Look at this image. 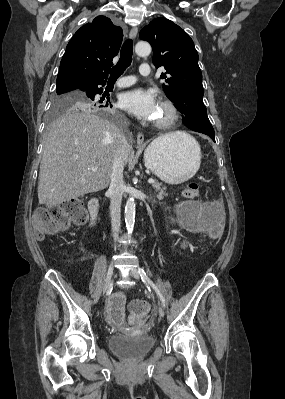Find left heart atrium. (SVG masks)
Segmentation results:
<instances>
[{"mask_svg":"<svg viewBox=\"0 0 285 399\" xmlns=\"http://www.w3.org/2000/svg\"><path fill=\"white\" fill-rule=\"evenodd\" d=\"M119 105L122 109L144 121L155 120L159 108L154 94L141 88L123 93Z\"/></svg>","mask_w":285,"mask_h":399,"instance_id":"1","label":"left heart atrium"}]
</instances>
